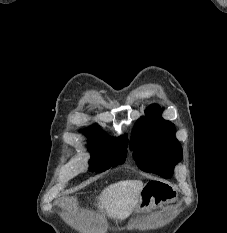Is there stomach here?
I'll list each match as a JSON object with an SVG mask.
<instances>
[{"label": "stomach", "mask_w": 227, "mask_h": 233, "mask_svg": "<svg viewBox=\"0 0 227 233\" xmlns=\"http://www.w3.org/2000/svg\"><path fill=\"white\" fill-rule=\"evenodd\" d=\"M168 188L167 184L160 181L147 182L141 190L140 200L134 212L149 210L165 201L167 199L166 189Z\"/></svg>", "instance_id": "1"}]
</instances>
